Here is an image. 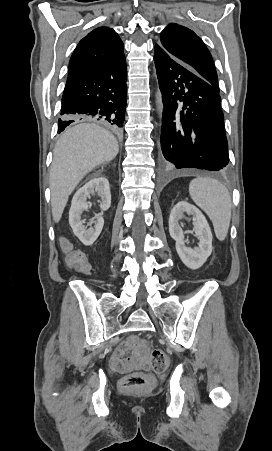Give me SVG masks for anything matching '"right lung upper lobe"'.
<instances>
[{"label": "right lung upper lobe", "instance_id": "1", "mask_svg": "<svg viewBox=\"0 0 272 451\" xmlns=\"http://www.w3.org/2000/svg\"><path fill=\"white\" fill-rule=\"evenodd\" d=\"M123 51L124 45L113 29L96 28L84 37L74 50L68 75L111 62L122 56Z\"/></svg>", "mask_w": 272, "mask_h": 451}]
</instances>
